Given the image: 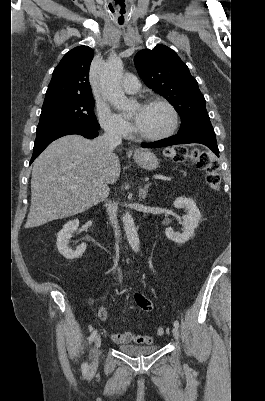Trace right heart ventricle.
I'll list each match as a JSON object with an SVG mask.
<instances>
[{"instance_id":"right-heart-ventricle-1","label":"right heart ventricle","mask_w":265,"mask_h":401,"mask_svg":"<svg viewBox=\"0 0 265 401\" xmlns=\"http://www.w3.org/2000/svg\"><path fill=\"white\" fill-rule=\"evenodd\" d=\"M117 140H120V139H122V137H118V138H116Z\"/></svg>"}]
</instances>
